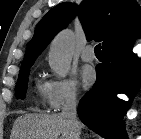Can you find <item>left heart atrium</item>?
<instances>
[{
  "label": "left heart atrium",
  "instance_id": "1",
  "mask_svg": "<svg viewBox=\"0 0 141 139\" xmlns=\"http://www.w3.org/2000/svg\"><path fill=\"white\" fill-rule=\"evenodd\" d=\"M79 78L83 88L88 89L94 84L96 73L92 67L85 66L80 70Z\"/></svg>",
  "mask_w": 141,
  "mask_h": 139
}]
</instances>
